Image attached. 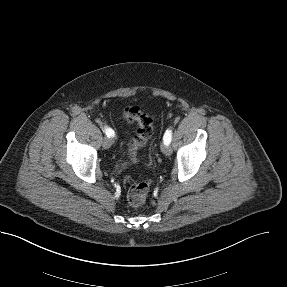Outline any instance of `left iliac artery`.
Listing matches in <instances>:
<instances>
[{
    "label": "left iliac artery",
    "instance_id": "44dca946",
    "mask_svg": "<svg viewBox=\"0 0 287 287\" xmlns=\"http://www.w3.org/2000/svg\"><path fill=\"white\" fill-rule=\"evenodd\" d=\"M172 139V130L171 129H167L164 136H163V141L164 144L169 145Z\"/></svg>",
    "mask_w": 287,
    "mask_h": 287
}]
</instances>
